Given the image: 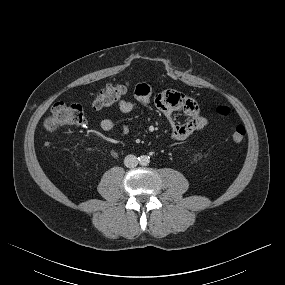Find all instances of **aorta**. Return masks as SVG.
Instances as JSON below:
<instances>
[{"instance_id": "1", "label": "aorta", "mask_w": 285, "mask_h": 285, "mask_svg": "<svg viewBox=\"0 0 285 285\" xmlns=\"http://www.w3.org/2000/svg\"><path fill=\"white\" fill-rule=\"evenodd\" d=\"M139 163L142 166H147L150 163V158L147 155H141L139 157Z\"/></svg>"}]
</instances>
